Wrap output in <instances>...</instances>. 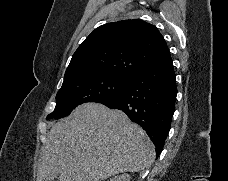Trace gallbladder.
I'll return each mask as SVG.
<instances>
[{
    "instance_id": "gallbladder-1",
    "label": "gallbladder",
    "mask_w": 228,
    "mask_h": 181,
    "mask_svg": "<svg viewBox=\"0 0 228 181\" xmlns=\"http://www.w3.org/2000/svg\"><path fill=\"white\" fill-rule=\"evenodd\" d=\"M54 179H56V175H53V173H51V175H48L44 181H54Z\"/></svg>"
}]
</instances>
